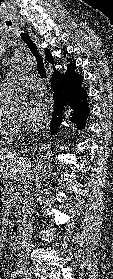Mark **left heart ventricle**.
<instances>
[{
    "mask_svg": "<svg viewBox=\"0 0 113 279\" xmlns=\"http://www.w3.org/2000/svg\"><path fill=\"white\" fill-rule=\"evenodd\" d=\"M20 118H21V116H17V117L12 118V120L17 122L20 120Z\"/></svg>",
    "mask_w": 113,
    "mask_h": 279,
    "instance_id": "1",
    "label": "left heart ventricle"
}]
</instances>
